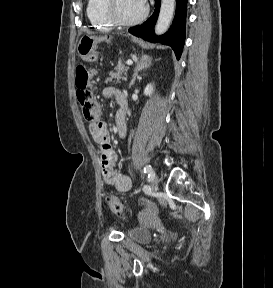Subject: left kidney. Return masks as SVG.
I'll use <instances>...</instances> for the list:
<instances>
[{
	"label": "left kidney",
	"mask_w": 273,
	"mask_h": 288,
	"mask_svg": "<svg viewBox=\"0 0 273 288\" xmlns=\"http://www.w3.org/2000/svg\"><path fill=\"white\" fill-rule=\"evenodd\" d=\"M153 90H154L153 84H148V85L146 86V88L144 89V94H145L146 96H150V95L153 93Z\"/></svg>",
	"instance_id": "obj_1"
}]
</instances>
